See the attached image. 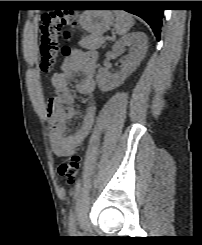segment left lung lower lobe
Segmentation results:
<instances>
[{
  "instance_id": "0a47b994",
  "label": "left lung lower lobe",
  "mask_w": 202,
  "mask_h": 245,
  "mask_svg": "<svg viewBox=\"0 0 202 245\" xmlns=\"http://www.w3.org/2000/svg\"><path fill=\"white\" fill-rule=\"evenodd\" d=\"M101 1H88V4L97 5ZM109 7H124V10L144 19L152 28L156 38L160 40L163 10L150 8L152 1H106Z\"/></svg>"
}]
</instances>
